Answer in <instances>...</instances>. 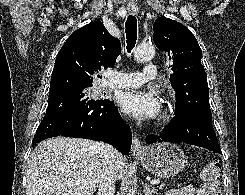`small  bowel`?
<instances>
[{
	"instance_id": "small-bowel-1",
	"label": "small bowel",
	"mask_w": 245,
	"mask_h": 195,
	"mask_svg": "<svg viewBox=\"0 0 245 195\" xmlns=\"http://www.w3.org/2000/svg\"><path fill=\"white\" fill-rule=\"evenodd\" d=\"M166 195H202V191L193 186H185L179 189L171 190L167 192Z\"/></svg>"
}]
</instances>
